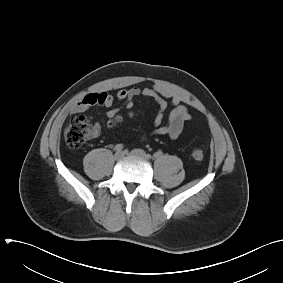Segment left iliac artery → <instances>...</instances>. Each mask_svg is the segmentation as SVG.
Returning <instances> with one entry per match:
<instances>
[{"label":"left iliac artery","mask_w":283,"mask_h":283,"mask_svg":"<svg viewBox=\"0 0 283 283\" xmlns=\"http://www.w3.org/2000/svg\"><path fill=\"white\" fill-rule=\"evenodd\" d=\"M162 156V152L161 151H158V152H156V153H154L153 154V156H152V158H159V157H161ZM150 158H151V156H150Z\"/></svg>","instance_id":"obj_1"}]
</instances>
